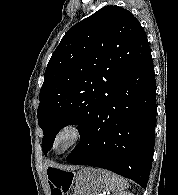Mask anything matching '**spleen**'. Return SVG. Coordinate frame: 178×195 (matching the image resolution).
<instances>
[{"label":"spleen","mask_w":178,"mask_h":195,"mask_svg":"<svg viewBox=\"0 0 178 195\" xmlns=\"http://www.w3.org/2000/svg\"><path fill=\"white\" fill-rule=\"evenodd\" d=\"M97 171L101 175L106 186H108L112 192L116 193L129 187L127 181L121 176L102 169H98Z\"/></svg>","instance_id":"1"}]
</instances>
